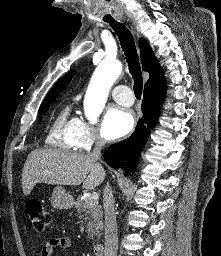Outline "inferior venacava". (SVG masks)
<instances>
[{
	"mask_svg": "<svg viewBox=\"0 0 221 256\" xmlns=\"http://www.w3.org/2000/svg\"><path fill=\"white\" fill-rule=\"evenodd\" d=\"M105 141L101 137L96 138L95 147L91 153V157L97 161L101 157V149ZM102 167L99 163H97ZM103 206L105 214V256H117L118 238H117V224L114 209V197L110 185L104 188Z\"/></svg>",
	"mask_w": 221,
	"mask_h": 256,
	"instance_id": "602c4592",
	"label": "inferior vena cava"
}]
</instances>
